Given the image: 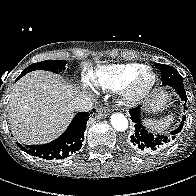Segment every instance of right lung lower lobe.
Returning <instances> with one entry per match:
<instances>
[{"label": "right lung lower lobe", "instance_id": "1", "mask_svg": "<svg viewBox=\"0 0 196 196\" xmlns=\"http://www.w3.org/2000/svg\"><path fill=\"white\" fill-rule=\"evenodd\" d=\"M21 78L20 76L17 80ZM91 113H77L67 130L56 140L43 145H25L19 143L18 146L32 156H37L46 160L62 159L69 157L82 147L84 131L86 129L87 120L91 117Z\"/></svg>", "mask_w": 196, "mask_h": 196}]
</instances>
